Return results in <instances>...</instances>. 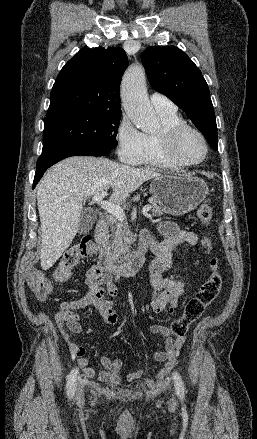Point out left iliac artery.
Wrapping results in <instances>:
<instances>
[{
  "label": "left iliac artery",
  "instance_id": "obj_1",
  "mask_svg": "<svg viewBox=\"0 0 257 439\" xmlns=\"http://www.w3.org/2000/svg\"><path fill=\"white\" fill-rule=\"evenodd\" d=\"M173 379H174V385H175V389L177 392V395L182 399L184 398V392H185V388H184V382L182 380V377L179 373L174 372L173 373Z\"/></svg>",
  "mask_w": 257,
  "mask_h": 439
}]
</instances>
